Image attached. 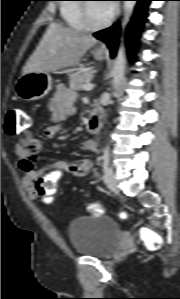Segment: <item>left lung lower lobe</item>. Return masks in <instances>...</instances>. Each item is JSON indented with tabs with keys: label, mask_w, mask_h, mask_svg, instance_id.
Masks as SVG:
<instances>
[{
	"label": "left lung lower lobe",
	"mask_w": 180,
	"mask_h": 299,
	"mask_svg": "<svg viewBox=\"0 0 180 299\" xmlns=\"http://www.w3.org/2000/svg\"><path fill=\"white\" fill-rule=\"evenodd\" d=\"M137 1L136 10L130 26L128 28V39L134 38L129 42V51L133 53L137 48V36L143 26L146 17V9L152 0H134ZM120 31V24L115 23L113 26L94 33L97 39L104 41L110 49L111 57H114L118 46V36Z\"/></svg>",
	"instance_id": "0a47b994"
}]
</instances>
